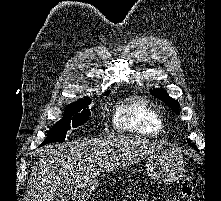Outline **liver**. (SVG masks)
<instances>
[{
  "instance_id": "obj_1",
  "label": "liver",
  "mask_w": 221,
  "mask_h": 201,
  "mask_svg": "<svg viewBox=\"0 0 221 201\" xmlns=\"http://www.w3.org/2000/svg\"><path fill=\"white\" fill-rule=\"evenodd\" d=\"M165 150L175 149L125 135L49 146L32 168L26 201H52L57 187L62 184L91 187L97 184L100 172L97 166L103 171L118 170Z\"/></svg>"
}]
</instances>
